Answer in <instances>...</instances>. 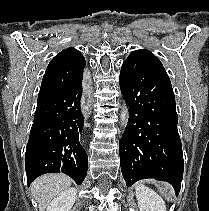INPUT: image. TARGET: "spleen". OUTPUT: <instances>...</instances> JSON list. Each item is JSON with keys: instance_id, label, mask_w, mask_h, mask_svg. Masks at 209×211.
Returning a JSON list of instances; mask_svg holds the SVG:
<instances>
[{"instance_id": "obj_1", "label": "spleen", "mask_w": 209, "mask_h": 211, "mask_svg": "<svg viewBox=\"0 0 209 211\" xmlns=\"http://www.w3.org/2000/svg\"><path fill=\"white\" fill-rule=\"evenodd\" d=\"M164 190H165L166 194H172L173 193V189L169 184H165Z\"/></svg>"}]
</instances>
